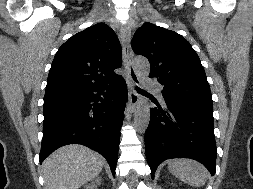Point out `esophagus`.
Segmentation results:
<instances>
[{"label": "esophagus", "mask_w": 253, "mask_h": 189, "mask_svg": "<svg viewBox=\"0 0 253 189\" xmlns=\"http://www.w3.org/2000/svg\"><path fill=\"white\" fill-rule=\"evenodd\" d=\"M131 32L127 25H122L120 28V40L122 43L123 57L125 66L128 72V105L127 109L134 112L139 102V94L135 90V86L139 84V77L132 66V53L130 49Z\"/></svg>", "instance_id": "esophagus-1"}]
</instances>
